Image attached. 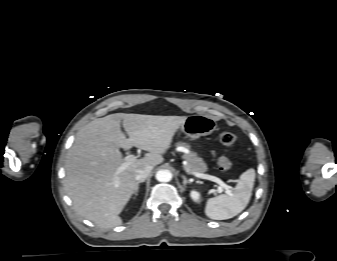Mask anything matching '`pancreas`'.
Instances as JSON below:
<instances>
[{"instance_id": "1", "label": "pancreas", "mask_w": 337, "mask_h": 261, "mask_svg": "<svg viewBox=\"0 0 337 261\" xmlns=\"http://www.w3.org/2000/svg\"><path fill=\"white\" fill-rule=\"evenodd\" d=\"M179 145L189 148L185 143H180ZM184 159L187 162L186 165H184V170L188 174H193L194 172L204 174L208 169L206 163L202 158L198 157L195 152L189 151L184 155Z\"/></svg>"}]
</instances>
